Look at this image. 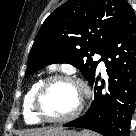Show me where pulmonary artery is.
Instances as JSON below:
<instances>
[{
    "label": "pulmonary artery",
    "instance_id": "pulmonary-artery-1",
    "mask_svg": "<svg viewBox=\"0 0 136 136\" xmlns=\"http://www.w3.org/2000/svg\"><path fill=\"white\" fill-rule=\"evenodd\" d=\"M96 58H97V59H101V55H97ZM100 67H101L102 69H104V67H105L104 62H103L102 60L100 61Z\"/></svg>",
    "mask_w": 136,
    "mask_h": 136
}]
</instances>
